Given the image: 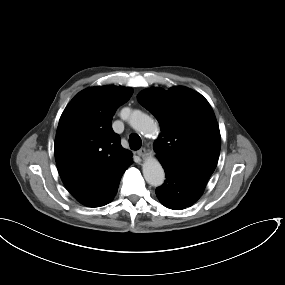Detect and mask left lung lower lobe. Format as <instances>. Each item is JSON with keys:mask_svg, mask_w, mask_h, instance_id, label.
<instances>
[{"mask_svg": "<svg viewBox=\"0 0 285 285\" xmlns=\"http://www.w3.org/2000/svg\"><path fill=\"white\" fill-rule=\"evenodd\" d=\"M166 180L156 189L159 201L167 208L181 210L195 203L202 195L207 180L168 164H162Z\"/></svg>", "mask_w": 285, "mask_h": 285, "instance_id": "0a47b994", "label": "left lung lower lobe"}]
</instances>
